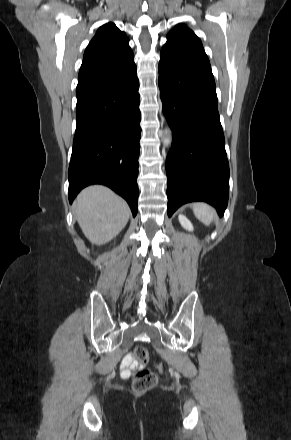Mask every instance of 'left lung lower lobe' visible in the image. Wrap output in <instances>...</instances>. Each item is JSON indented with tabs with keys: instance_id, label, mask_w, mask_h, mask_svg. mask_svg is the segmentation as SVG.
I'll return each instance as SVG.
<instances>
[{
	"instance_id": "left-lung-lower-lobe-1",
	"label": "left lung lower lobe",
	"mask_w": 291,
	"mask_h": 440,
	"mask_svg": "<svg viewBox=\"0 0 291 440\" xmlns=\"http://www.w3.org/2000/svg\"><path fill=\"white\" fill-rule=\"evenodd\" d=\"M158 82L173 135L166 158L168 216L192 201H206L222 216L229 164L213 74L161 57Z\"/></svg>"
}]
</instances>
